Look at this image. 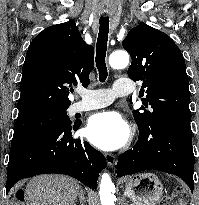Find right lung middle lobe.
I'll return each instance as SVG.
<instances>
[{"mask_svg":"<svg viewBox=\"0 0 199 205\" xmlns=\"http://www.w3.org/2000/svg\"><path fill=\"white\" fill-rule=\"evenodd\" d=\"M68 107L51 108L18 114L11 144L22 142L45 130L61 129L71 125Z\"/></svg>","mask_w":199,"mask_h":205,"instance_id":"obj_1","label":"right lung middle lobe"}]
</instances>
